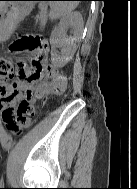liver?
Listing matches in <instances>:
<instances>
[{"instance_id": "obj_1", "label": "liver", "mask_w": 137, "mask_h": 189, "mask_svg": "<svg viewBox=\"0 0 137 189\" xmlns=\"http://www.w3.org/2000/svg\"><path fill=\"white\" fill-rule=\"evenodd\" d=\"M5 6V3L4 2H0V10H2Z\"/></svg>"}]
</instances>
